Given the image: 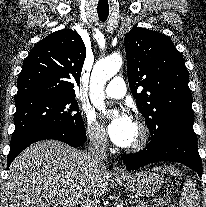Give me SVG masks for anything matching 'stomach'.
<instances>
[{
	"label": "stomach",
	"mask_w": 206,
	"mask_h": 207,
	"mask_svg": "<svg viewBox=\"0 0 206 207\" xmlns=\"http://www.w3.org/2000/svg\"><path fill=\"white\" fill-rule=\"evenodd\" d=\"M119 184L142 197H153L160 190L163 179L154 171H140L117 178Z\"/></svg>",
	"instance_id": "stomach-1"
}]
</instances>
